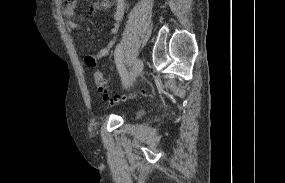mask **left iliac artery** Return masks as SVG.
Segmentation results:
<instances>
[{
    "label": "left iliac artery",
    "instance_id": "obj_1",
    "mask_svg": "<svg viewBox=\"0 0 285 183\" xmlns=\"http://www.w3.org/2000/svg\"><path fill=\"white\" fill-rule=\"evenodd\" d=\"M114 57H115L117 69H118V71L121 75V78H122V83L126 84V82L128 81V73H127V70H126L124 64L122 63V46H121V44H118L116 46L115 52H114Z\"/></svg>",
    "mask_w": 285,
    "mask_h": 183
}]
</instances>
